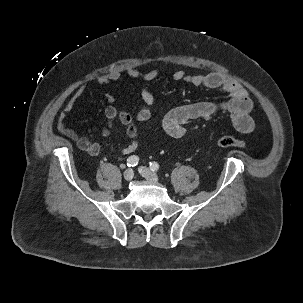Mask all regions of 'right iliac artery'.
Instances as JSON below:
<instances>
[{
	"label": "right iliac artery",
	"mask_w": 303,
	"mask_h": 303,
	"mask_svg": "<svg viewBox=\"0 0 303 303\" xmlns=\"http://www.w3.org/2000/svg\"><path fill=\"white\" fill-rule=\"evenodd\" d=\"M139 158L136 155H132L127 159V166L134 167L138 164Z\"/></svg>",
	"instance_id": "obj_1"
}]
</instances>
